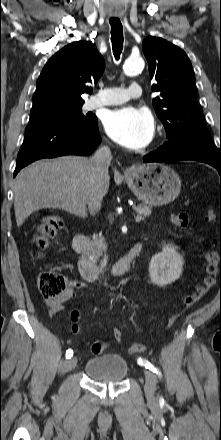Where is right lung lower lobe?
I'll return each mask as SVG.
<instances>
[{
    "instance_id": "right-lung-lower-lobe-1",
    "label": "right lung lower lobe",
    "mask_w": 221,
    "mask_h": 440,
    "mask_svg": "<svg viewBox=\"0 0 221 440\" xmlns=\"http://www.w3.org/2000/svg\"><path fill=\"white\" fill-rule=\"evenodd\" d=\"M101 142L98 120L89 125H70L59 121L29 124L19 150L14 177L28 164L62 155H89Z\"/></svg>"
}]
</instances>
